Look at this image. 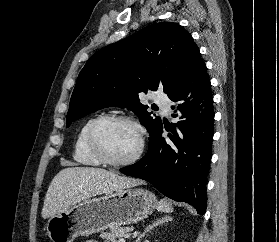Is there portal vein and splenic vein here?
<instances>
[{
  "mask_svg": "<svg viewBox=\"0 0 279 242\" xmlns=\"http://www.w3.org/2000/svg\"><path fill=\"white\" fill-rule=\"evenodd\" d=\"M118 242H125V240L124 239H119V241Z\"/></svg>",
  "mask_w": 279,
  "mask_h": 242,
  "instance_id": "portal-vein-and-splenic-vein-1",
  "label": "portal vein and splenic vein"
}]
</instances>
